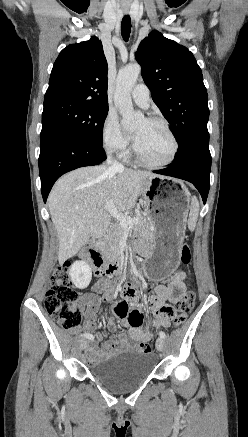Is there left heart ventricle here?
<instances>
[{
    "mask_svg": "<svg viewBox=\"0 0 248 437\" xmlns=\"http://www.w3.org/2000/svg\"><path fill=\"white\" fill-rule=\"evenodd\" d=\"M135 141L140 153L150 162L167 160L173 144L166 130L156 123L140 120L133 128Z\"/></svg>",
    "mask_w": 248,
    "mask_h": 437,
    "instance_id": "obj_1",
    "label": "left heart ventricle"
}]
</instances>
